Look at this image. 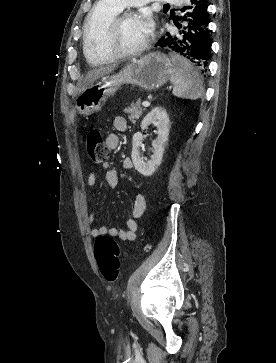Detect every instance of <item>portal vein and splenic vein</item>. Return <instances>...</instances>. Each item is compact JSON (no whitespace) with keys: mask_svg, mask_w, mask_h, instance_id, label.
Instances as JSON below:
<instances>
[{"mask_svg":"<svg viewBox=\"0 0 276 363\" xmlns=\"http://www.w3.org/2000/svg\"><path fill=\"white\" fill-rule=\"evenodd\" d=\"M142 105H143L144 107H148V106H150V103H149L148 101H144V102L142 103Z\"/></svg>","mask_w":276,"mask_h":363,"instance_id":"portal-vein-and-splenic-vein-1","label":"portal vein and splenic vein"}]
</instances>
